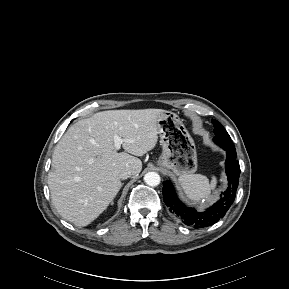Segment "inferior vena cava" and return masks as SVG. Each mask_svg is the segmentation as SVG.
I'll return each instance as SVG.
<instances>
[{
  "mask_svg": "<svg viewBox=\"0 0 289 289\" xmlns=\"http://www.w3.org/2000/svg\"><path fill=\"white\" fill-rule=\"evenodd\" d=\"M132 175V170L129 168L123 169L122 171L119 172V178L121 180H125L129 178Z\"/></svg>",
  "mask_w": 289,
  "mask_h": 289,
  "instance_id": "obj_1",
  "label": "inferior vena cava"
}]
</instances>
